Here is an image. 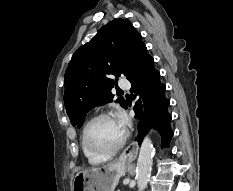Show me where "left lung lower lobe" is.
<instances>
[{"mask_svg":"<svg viewBox=\"0 0 233 191\" xmlns=\"http://www.w3.org/2000/svg\"><path fill=\"white\" fill-rule=\"evenodd\" d=\"M154 59L148 55L132 76L131 92L140 96L134 110L140 116L139 145L149 127H154L161 135V146H168L173 135L170 129L171 115L167 111L169 100L164 96L165 85L159 80L160 73L154 68Z\"/></svg>","mask_w":233,"mask_h":191,"instance_id":"obj_1","label":"left lung lower lobe"}]
</instances>
